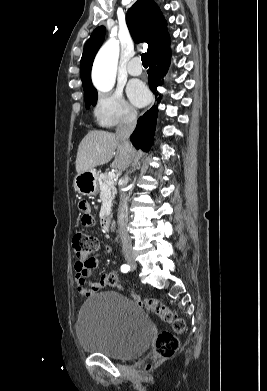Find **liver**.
I'll use <instances>...</instances> for the list:
<instances>
[{
  "label": "liver",
  "mask_w": 267,
  "mask_h": 391,
  "mask_svg": "<svg viewBox=\"0 0 267 391\" xmlns=\"http://www.w3.org/2000/svg\"><path fill=\"white\" fill-rule=\"evenodd\" d=\"M133 154V149H132ZM115 156L112 168L123 171L129 166V158L116 134L93 130L82 139L76 157L78 174L107 164Z\"/></svg>",
  "instance_id": "6515ba94"
}]
</instances>
